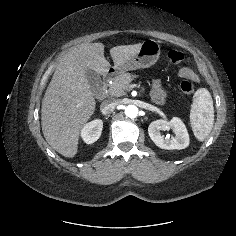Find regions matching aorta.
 Returning a JSON list of instances; mask_svg holds the SVG:
<instances>
[{
    "label": "aorta",
    "mask_w": 236,
    "mask_h": 236,
    "mask_svg": "<svg viewBox=\"0 0 236 236\" xmlns=\"http://www.w3.org/2000/svg\"><path fill=\"white\" fill-rule=\"evenodd\" d=\"M138 108L135 105H128L125 108V114L129 118H136L138 116Z\"/></svg>",
    "instance_id": "762f6f07"
}]
</instances>
